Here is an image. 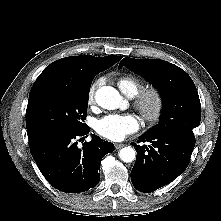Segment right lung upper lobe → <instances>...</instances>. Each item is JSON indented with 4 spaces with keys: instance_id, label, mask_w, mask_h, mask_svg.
<instances>
[{
    "instance_id": "1",
    "label": "right lung upper lobe",
    "mask_w": 221,
    "mask_h": 221,
    "mask_svg": "<svg viewBox=\"0 0 221 221\" xmlns=\"http://www.w3.org/2000/svg\"><path fill=\"white\" fill-rule=\"evenodd\" d=\"M122 59V56L94 57L89 55L70 56L59 59L39 75L35 83L51 81L82 86L95 77L100 70H106Z\"/></svg>"
}]
</instances>
